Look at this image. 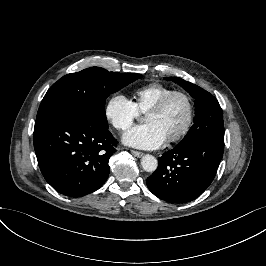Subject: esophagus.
Wrapping results in <instances>:
<instances>
[{"label": "esophagus", "instance_id": "obj_1", "mask_svg": "<svg viewBox=\"0 0 266 266\" xmlns=\"http://www.w3.org/2000/svg\"><path fill=\"white\" fill-rule=\"evenodd\" d=\"M131 152L137 158H141L144 155V153L140 151L131 150Z\"/></svg>", "mask_w": 266, "mask_h": 266}]
</instances>
